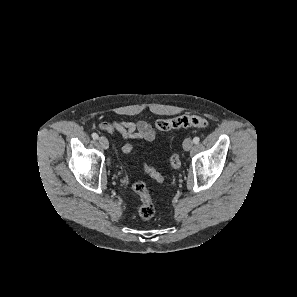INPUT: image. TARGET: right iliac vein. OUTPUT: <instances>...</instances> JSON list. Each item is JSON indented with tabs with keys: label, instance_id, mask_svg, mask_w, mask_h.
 Here are the masks:
<instances>
[{
	"label": "right iliac vein",
	"instance_id": "63e3f726",
	"mask_svg": "<svg viewBox=\"0 0 297 297\" xmlns=\"http://www.w3.org/2000/svg\"><path fill=\"white\" fill-rule=\"evenodd\" d=\"M98 140H99V144L102 148H104V149L109 148V142L105 137H100Z\"/></svg>",
	"mask_w": 297,
	"mask_h": 297
}]
</instances>
